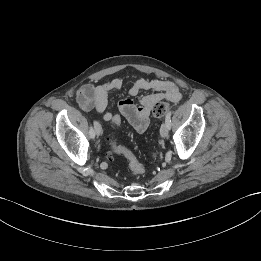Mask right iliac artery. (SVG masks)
<instances>
[{"label": "right iliac artery", "mask_w": 261, "mask_h": 261, "mask_svg": "<svg viewBox=\"0 0 261 261\" xmlns=\"http://www.w3.org/2000/svg\"><path fill=\"white\" fill-rule=\"evenodd\" d=\"M96 125H97V121L94 122V127H96ZM89 135H90L91 138L95 137V133H94V130H93L92 127H90Z\"/></svg>", "instance_id": "82829eb1"}]
</instances>
